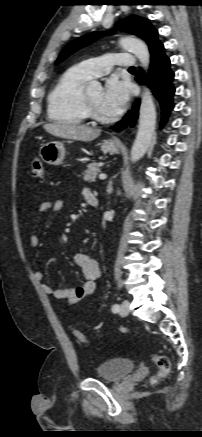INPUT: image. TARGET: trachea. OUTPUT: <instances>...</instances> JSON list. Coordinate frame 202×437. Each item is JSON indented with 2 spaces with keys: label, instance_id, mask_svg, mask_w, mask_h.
Segmentation results:
<instances>
[{
  "label": "trachea",
  "instance_id": "3493384b",
  "mask_svg": "<svg viewBox=\"0 0 202 437\" xmlns=\"http://www.w3.org/2000/svg\"><path fill=\"white\" fill-rule=\"evenodd\" d=\"M129 70H135V68H134V67H131Z\"/></svg>",
  "mask_w": 202,
  "mask_h": 437
}]
</instances>
